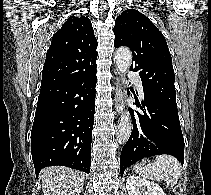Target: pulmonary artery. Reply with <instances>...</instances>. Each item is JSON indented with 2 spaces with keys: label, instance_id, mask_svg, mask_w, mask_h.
<instances>
[{
  "label": "pulmonary artery",
  "instance_id": "pulmonary-artery-1",
  "mask_svg": "<svg viewBox=\"0 0 211 195\" xmlns=\"http://www.w3.org/2000/svg\"><path fill=\"white\" fill-rule=\"evenodd\" d=\"M129 77L135 82V84L140 92V95L143 96V85H142L140 77L135 72H130Z\"/></svg>",
  "mask_w": 211,
  "mask_h": 195
}]
</instances>
